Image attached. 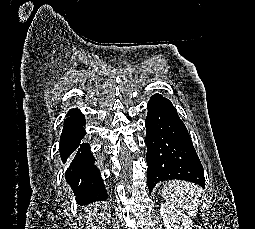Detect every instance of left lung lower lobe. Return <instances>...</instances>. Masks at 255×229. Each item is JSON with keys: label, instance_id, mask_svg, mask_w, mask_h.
Masks as SVG:
<instances>
[{"label": "left lung lower lobe", "instance_id": "obj_1", "mask_svg": "<svg viewBox=\"0 0 255 229\" xmlns=\"http://www.w3.org/2000/svg\"><path fill=\"white\" fill-rule=\"evenodd\" d=\"M147 109L145 141L149 193L158 182L168 179L192 181L204 188L203 166L171 101L155 94Z\"/></svg>", "mask_w": 255, "mask_h": 229}]
</instances>
